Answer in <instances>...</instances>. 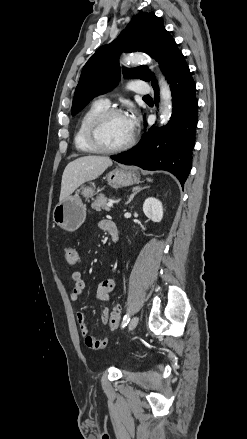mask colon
I'll use <instances>...</instances> for the list:
<instances>
[{
  "mask_svg": "<svg viewBox=\"0 0 247 439\" xmlns=\"http://www.w3.org/2000/svg\"><path fill=\"white\" fill-rule=\"evenodd\" d=\"M66 260L69 264H76L78 261V252L75 248L70 247L66 250ZM121 318V308L116 306L109 316V327L111 330H116L119 326Z\"/></svg>",
  "mask_w": 247,
  "mask_h": 439,
  "instance_id": "1",
  "label": "colon"
}]
</instances>
